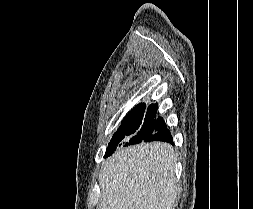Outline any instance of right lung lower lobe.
<instances>
[{
	"label": "right lung lower lobe",
	"instance_id": "98d812e1",
	"mask_svg": "<svg viewBox=\"0 0 253 209\" xmlns=\"http://www.w3.org/2000/svg\"><path fill=\"white\" fill-rule=\"evenodd\" d=\"M151 109L157 110V104H155ZM142 139L144 142L163 141L173 144L172 135L161 117L157 119L155 127L149 132H146L142 136Z\"/></svg>",
	"mask_w": 253,
	"mask_h": 209
}]
</instances>
